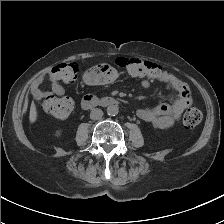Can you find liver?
Here are the masks:
<instances>
[{"label":"liver","instance_id":"obj_1","mask_svg":"<svg viewBox=\"0 0 224 224\" xmlns=\"http://www.w3.org/2000/svg\"><path fill=\"white\" fill-rule=\"evenodd\" d=\"M37 119V111L34 102L31 103L30 113H29V121L34 123Z\"/></svg>","mask_w":224,"mask_h":224}]
</instances>
